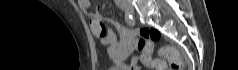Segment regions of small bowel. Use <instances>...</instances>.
I'll return each mask as SVG.
<instances>
[{
    "label": "small bowel",
    "instance_id": "obj_1",
    "mask_svg": "<svg viewBox=\"0 0 238 70\" xmlns=\"http://www.w3.org/2000/svg\"><path fill=\"white\" fill-rule=\"evenodd\" d=\"M78 5L88 17L93 35L102 44L108 46V55L114 62L116 69L140 70L141 65L139 64V60L147 64L148 60L144 52L139 57L134 56L130 63L126 62L137 45L141 49L140 43L136 39V30L127 28L113 19L102 16L98 12L90 11L91 4L89 0H78Z\"/></svg>",
    "mask_w": 238,
    "mask_h": 70
}]
</instances>
